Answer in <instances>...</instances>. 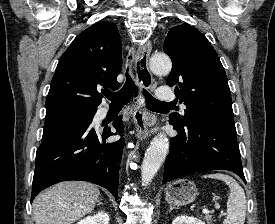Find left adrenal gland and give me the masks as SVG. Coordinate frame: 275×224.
I'll list each match as a JSON object with an SVG mask.
<instances>
[{"mask_svg":"<svg viewBox=\"0 0 275 224\" xmlns=\"http://www.w3.org/2000/svg\"><path fill=\"white\" fill-rule=\"evenodd\" d=\"M173 209H175V207L170 206V210H169V212H171Z\"/></svg>","mask_w":275,"mask_h":224,"instance_id":"a2214340","label":"left adrenal gland"}]
</instances>
